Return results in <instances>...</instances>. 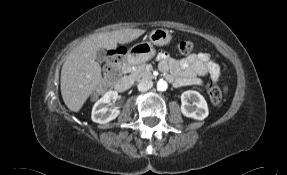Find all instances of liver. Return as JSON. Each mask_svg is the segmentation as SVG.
Returning <instances> with one entry per match:
<instances>
[{"label": "liver", "instance_id": "liver-1", "mask_svg": "<svg viewBox=\"0 0 287 175\" xmlns=\"http://www.w3.org/2000/svg\"><path fill=\"white\" fill-rule=\"evenodd\" d=\"M145 33L141 29H121L92 35L67 56L61 70L60 88L64 103L78 112L87 98L103 83L101 66L96 61L99 49L113 50Z\"/></svg>", "mask_w": 287, "mask_h": 175}]
</instances>
